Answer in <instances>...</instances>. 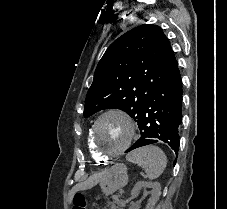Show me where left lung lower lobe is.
Instances as JSON below:
<instances>
[{
  "mask_svg": "<svg viewBox=\"0 0 227 209\" xmlns=\"http://www.w3.org/2000/svg\"><path fill=\"white\" fill-rule=\"evenodd\" d=\"M182 122V80L178 65L145 104L137 120L141 138L126 152L154 143H166L178 155Z\"/></svg>",
  "mask_w": 227,
  "mask_h": 209,
  "instance_id": "0a47b994",
  "label": "left lung lower lobe"
}]
</instances>
